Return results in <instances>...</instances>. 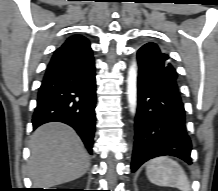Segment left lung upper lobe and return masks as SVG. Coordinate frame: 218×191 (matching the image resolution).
Here are the masks:
<instances>
[{
  "mask_svg": "<svg viewBox=\"0 0 218 191\" xmlns=\"http://www.w3.org/2000/svg\"><path fill=\"white\" fill-rule=\"evenodd\" d=\"M140 50L145 52L148 55L147 58H150L154 62V64L162 65L175 71L173 65L171 64L169 56L163 53L157 46V44L147 43Z\"/></svg>",
  "mask_w": 218,
  "mask_h": 191,
  "instance_id": "1",
  "label": "left lung upper lobe"
}]
</instances>
